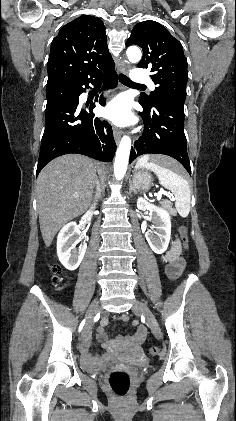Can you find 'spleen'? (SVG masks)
<instances>
[{
  "mask_svg": "<svg viewBox=\"0 0 236 421\" xmlns=\"http://www.w3.org/2000/svg\"><path fill=\"white\" fill-rule=\"evenodd\" d=\"M149 158V154L141 156L135 164L136 168H149V170H153L157 178H159L160 184L175 194L176 211H178L180 217H188L191 202L189 182L183 176L177 174V172H173L169 164H165V162L164 164L163 162H154V160H150L149 162Z\"/></svg>",
  "mask_w": 236,
  "mask_h": 421,
  "instance_id": "obj_1",
  "label": "spleen"
}]
</instances>
